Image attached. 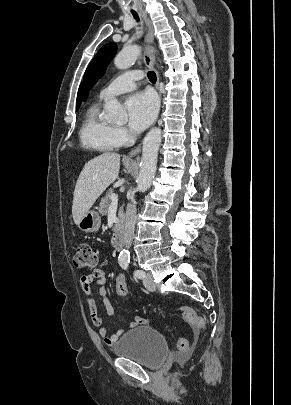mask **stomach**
Here are the masks:
<instances>
[{
  "label": "stomach",
  "mask_w": 291,
  "mask_h": 405,
  "mask_svg": "<svg viewBox=\"0 0 291 405\" xmlns=\"http://www.w3.org/2000/svg\"><path fill=\"white\" fill-rule=\"evenodd\" d=\"M101 217L95 210H89L78 223L80 230L84 232H96L100 228Z\"/></svg>",
  "instance_id": "1"
}]
</instances>
